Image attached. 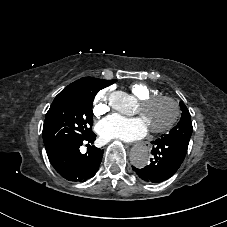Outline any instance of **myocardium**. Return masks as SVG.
Wrapping results in <instances>:
<instances>
[{
  "mask_svg": "<svg viewBox=\"0 0 227 227\" xmlns=\"http://www.w3.org/2000/svg\"><path fill=\"white\" fill-rule=\"evenodd\" d=\"M159 101H168L172 106H173V114L171 118L168 120V122L159 128H149L151 132L160 134L164 133L170 129H172L179 121L181 117V105L179 101L169 95H163V94H158L154 96L147 97L143 100L140 101V111H144L145 109L153 106Z\"/></svg>",
  "mask_w": 227,
  "mask_h": 227,
  "instance_id": "obj_1",
  "label": "myocardium"
}]
</instances>
